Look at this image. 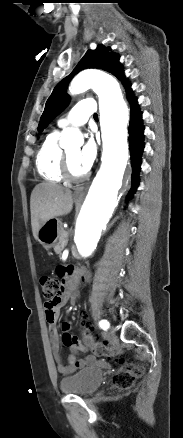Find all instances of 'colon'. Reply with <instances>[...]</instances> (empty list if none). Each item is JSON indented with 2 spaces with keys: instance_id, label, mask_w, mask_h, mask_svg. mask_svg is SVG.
I'll list each match as a JSON object with an SVG mask.
<instances>
[{
  "instance_id": "5ec220e1",
  "label": "colon",
  "mask_w": 183,
  "mask_h": 438,
  "mask_svg": "<svg viewBox=\"0 0 183 438\" xmlns=\"http://www.w3.org/2000/svg\"><path fill=\"white\" fill-rule=\"evenodd\" d=\"M43 296L51 300L56 296L59 289V281L51 276H44L40 279ZM81 334L84 343L89 346L94 354L113 358L121 366L114 374L112 379V390L116 394H121L131 390L136 381L142 376L144 367L139 363H126L121 357L120 352L114 347L103 342L94 341L89 332L88 315L86 312L81 313Z\"/></svg>"
}]
</instances>
